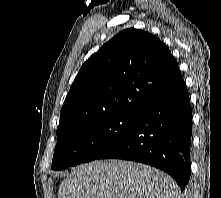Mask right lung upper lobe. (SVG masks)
Listing matches in <instances>:
<instances>
[{"instance_id":"cb5924a9","label":"right lung upper lobe","mask_w":221,"mask_h":198,"mask_svg":"<svg viewBox=\"0 0 221 198\" xmlns=\"http://www.w3.org/2000/svg\"><path fill=\"white\" fill-rule=\"evenodd\" d=\"M182 80L163 42L125 29L82 65L62 106L57 136L113 114L140 115Z\"/></svg>"}]
</instances>
